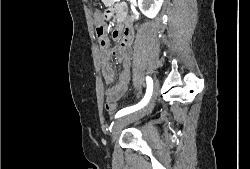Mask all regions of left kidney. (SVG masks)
I'll return each mask as SVG.
<instances>
[{
	"label": "left kidney",
	"instance_id": "obj_1",
	"mask_svg": "<svg viewBox=\"0 0 250 169\" xmlns=\"http://www.w3.org/2000/svg\"><path fill=\"white\" fill-rule=\"evenodd\" d=\"M164 0H138V6L148 18H154L158 14Z\"/></svg>",
	"mask_w": 250,
	"mask_h": 169
}]
</instances>
